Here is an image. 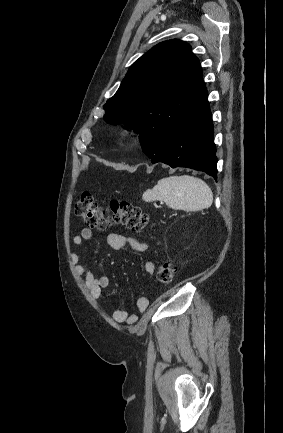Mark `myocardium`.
I'll list each match as a JSON object with an SVG mask.
<instances>
[{
  "label": "myocardium",
  "mask_w": 283,
  "mask_h": 433,
  "mask_svg": "<svg viewBox=\"0 0 283 433\" xmlns=\"http://www.w3.org/2000/svg\"><path fill=\"white\" fill-rule=\"evenodd\" d=\"M129 134H133L135 133V128H130V130L128 131Z\"/></svg>",
  "instance_id": "f54148a6"
}]
</instances>
